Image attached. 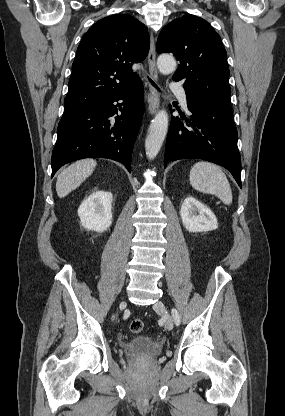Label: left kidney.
Here are the masks:
<instances>
[{
    "instance_id": "obj_1",
    "label": "left kidney",
    "mask_w": 285,
    "mask_h": 416,
    "mask_svg": "<svg viewBox=\"0 0 285 416\" xmlns=\"http://www.w3.org/2000/svg\"><path fill=\"white\" fill-rule=\"evenodd\" d=\"M180 216L188 232H211L217 230V218L210 208L195 200V198H185Z\"/></svg>"
}]
</instances>
